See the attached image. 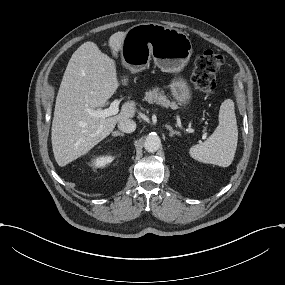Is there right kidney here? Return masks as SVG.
<instances>
[{"label":"right kidney","mask_w":285,"mask_h":285,"mask_svg":"<svg viewBox=\"0 0 285 285\" xmlns=\"http://www.w3.org/2000/svg\"><path fill=\"white\" fill-rule=\"evenodd\" d=\"M114 160V157L111 155H106V156H99L95 159H93L92 163L93 166L96 168H101L104 167L105 165L111 163Z\"/></svg>","instance_id":"1"}]
</instances>
